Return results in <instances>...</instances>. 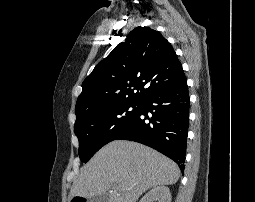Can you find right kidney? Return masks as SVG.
Instances as JSON below:
<instances>
[{
    "label": "right kidney",
    "mask_w": 255,
    "mask_h": 202,
    "mask_svg": "<svg viewBox=\"0 0 255 202\" xmlns=\"http://www.w3.org/2000/svg\"><path fill=\"white\" fill-rule=\"evenodd\" d=\"M139 202H171V193L168 187L157 186L146 193Z\"/></svg>",
    "instance_id": "right-kidney-1"
}]
</instances>
